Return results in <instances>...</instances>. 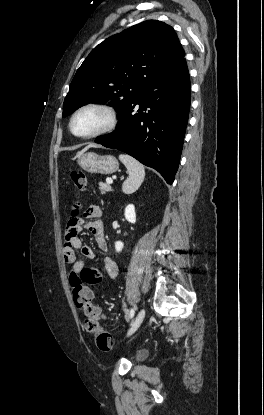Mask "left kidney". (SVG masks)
Listing matches in <instances>:
<instances>
[{"mask_svg": "<svg viewBox=\"0 0 264 415\" xmlns=\"http://www.w3.org/2000/svg\"><path fill=\"white\" fill-rule=\"evenodd\" d=\"M125 218L128 222L134 224L136 222V213H135V207L133 204H128L125 208ZM124 247L123 242L117 241L115 242V249L117 252L122 251Z\"/></svg>", "mask_w": 264, "mask_h": 415, "instance_id": "5707ae66", "label": "left kidney"}]
</instances>
